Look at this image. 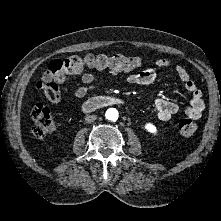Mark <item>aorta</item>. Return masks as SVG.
<instances>
[{"label":"aorta","mask_w":221,"mask_h":221,"mask_svg":"<svg viewBox=\"0 0 221 221\" xmlns=\"http://www.w3.org/2000/svg\"><path fill=\"white\" fill-rule=\"evenodd\" d=\"M105 117L108 120L116 121L118 119V111L115 108L107 109Z\"/></svg>","instance_id":"aorta-1"}]
</instances>
